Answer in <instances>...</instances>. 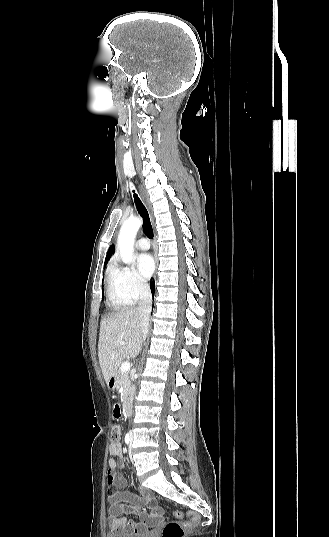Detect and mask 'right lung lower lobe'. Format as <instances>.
Wrapping results in <instances>:
<instances>
[{
    "mask_svg": "<svg viewBox=\"0 0 329 537\" xmlns=\"http://www.w3.org/2000/svg\"><path fill=\"white\" fill-rule=\"evenodd\" d=\"M150 288H151L152 295L154 296V290H155L154 282L151 283Z\"/></svg>",
    "mask_w": 329,
    "mask_h": 537,
    "instance_id": "98d812e1",
    "label": "right lung lower lobe"
}]
</instances>
